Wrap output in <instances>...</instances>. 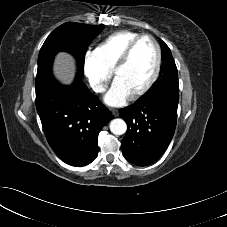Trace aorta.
<instances>
[{
	"label": "aorta",
	"instance_id": "obj_1",
	"mask_svg": "<svg viewBox=\"0 0 227 227\" xmlns=\"http://www.w3.org/2000/svg\"><path fill=\"white\" fill-rule=\"evenodd\" d=\"M110 131L115 135H122L127 130V125L122 119H113L110 122Z\"/></svg>",
	"mask_w": 227,
	"mask_h": 227
}]
</instances>
